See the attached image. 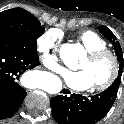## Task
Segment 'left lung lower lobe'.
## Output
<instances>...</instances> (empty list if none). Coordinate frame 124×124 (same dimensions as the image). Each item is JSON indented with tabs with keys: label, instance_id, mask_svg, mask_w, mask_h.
Here are the masks:
<instances>
[{
	"label": "left lung lower lobe",
	"instance_id": "left-lung-lower-lobe-1",
	"mask_svg": "<svg viewBox=\"0 0 124 124\" xmlns=\"http://www.w3.org/2000/svg\"><path fill=\"white\" fill-rule=\"evenodd\" d=\"M117 92L116 87L110 86L99 94L83 96L63 89V95L50 101L53 118L59 124H96L111 109Z\"/></svg>",
	"mask_w": 124,
	"mask_h": 124
}]
</instances>
